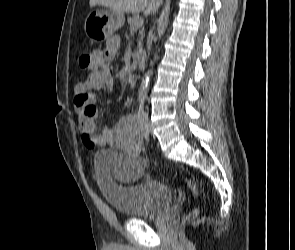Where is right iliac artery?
Instances as JSON below:
<instances>
[{"label": "right iliac artery", "instance_id": "1", "mask_svg": "<svg viewBox=\"0 0 295 250\" xmlns=\"http://www.w3.org/2000/svg\"><path fill=\"white\" fill-rule=\"evenodd\" d=\"M137 117H138V122H139V125L141 126V128L143 129L142 131L145 133L146 132V135L148 136V133H147V125H146V121H145V116H144V112L142 109H139L138 110V113H137Z\"/></svg>", "mask_w": 295, "mask_h": 250}]
</instances>
